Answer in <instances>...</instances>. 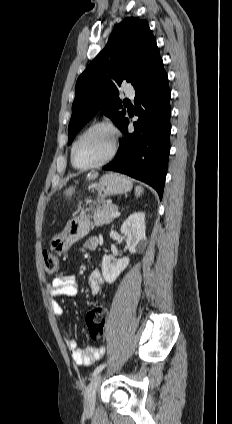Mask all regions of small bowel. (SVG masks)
Masks as SVG:
<instances>
[{
    "mask_svg": "<svg viewBox=\"0 0 232 424\" xmlns=\"http://www.w3.org/2000/svg\"><path fill=\"white\" fill-rule=\"evenodd\" d=\"M97 246L98 239L95 237L87 238L82 245L85 250H94ZM87 281L92 294L100 292L102 279L98 271L89 273ZM47 291L50 295V306L54 316L63 318L65 310L62 304L57 300V297L76 296L78 294L77 279L74 275L57 276L47 285ZM65 342L73 362L77 365H92L95 361L100 359L104 353V349L98 346H88L85 349H80L77 342L68 336L65 337Z\"/></svg>",
    "mask_w": 232,
    "mask_h": 424,
    "instance_id": "small-bowel-1",
    "label": "small bowel"
}]
</instances>
